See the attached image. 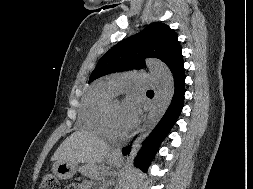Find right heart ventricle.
Returning a JSON list of instances; mask_svg holds the SVG:
<instances>
[{
    "label": "right heart ventricle",
    "mask_w": 253,
    "mask_h": 189,
    "mask_svg": "<svg viewBox=\"0 0 253 189\" xmlns=\"http://www.w3.org/2000/svg\"><path fill=\"white\" fill-rule=\"evenodd\" d=\"M107 82L95 84L86 95L80 110L81 125L97 134H105L103 110L106 103L114 96Z\"/></svg>",
    "instance_id": "right-heart-ventricle-1"
}]
</instances>
